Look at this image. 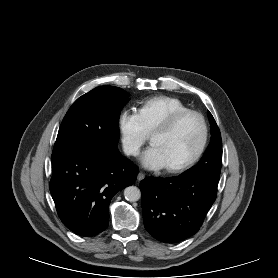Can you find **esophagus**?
I'll return each instance as SVG.
<instances>
[{
    "instance_id": "1",
    "label": "esophagus",
    "mask_w": 278,
    "mask_h": 278,
    "mask_svg": "<svg viewBox=\"0 0 278 278\" xmlns=\"http://www.w3.org/2000/svg\"><path fill=\"white\" fill-rule=\"evenodd\" d=\"M145 178V174L143 172H139L138 175H137V180L138 181H141Z\"/></svg>"
}]
</instances>
